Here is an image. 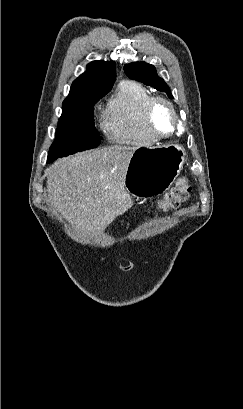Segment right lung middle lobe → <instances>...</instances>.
Here are the masks:
<instances>
[{"label":"right lung middle lobe","mask_w":243,"mask_h":409,"mask_svg":"<svg viewBox=\"0 0 243 409\" xmlns=\"http://www.w3.org/2000/svg\"><path fill=\"white\" fill-rule=\"evenodd\" d=\"M93 106L94 104L84 107H62L55 142L50 147L48 158L65 157L95 148L100 144V137L94 126Z\"/></svg>","instance_id":"1"}]
</instances>
